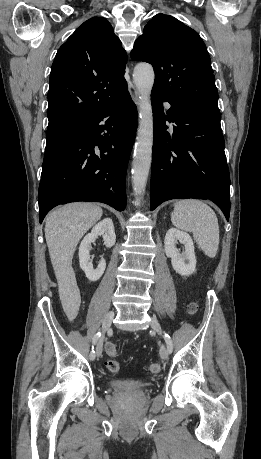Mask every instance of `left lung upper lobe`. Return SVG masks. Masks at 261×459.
Here are the masks:
<instances>
[{
	"label": "left lung upper lobe",
	"instance_id": "1",
	"mask_svg": "<svg viewBox=\"0 0 261 459\" xmlns=\"http://www.w3.org/2000/svg\"><path fill=\"white\" fill-rule=\"evenodd\" d=\"M131 57L154 67L152 92L182 107L220 113L206 46L195 30L176 18L155 15L136 40Z\"/></svg>",
	"mask_w": 261,
	"mask_h": 459
}]
</instances>
